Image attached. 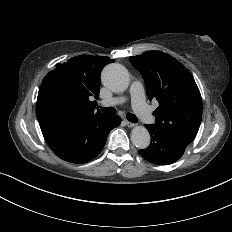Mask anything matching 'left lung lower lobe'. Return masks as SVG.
Here are the masks:
<instances>
[{
	"label": "left lung lower lobe",
	"instance_id": "0a47b994",
	"mask_svg": "<svg viewBox=\"0 0 232 232\" xmlns=\"http://www.w3.org/2000/svg\"><path fill=\"white\" fill-rule=\"evenodd\" d=\"M151 136L148 148L139 150V154L147 161L157 165H169L177 161L188 145L145 125Z\"/></svg>",
	"mask_w": 232,
	"mask_h": 232
}]
</instances>
